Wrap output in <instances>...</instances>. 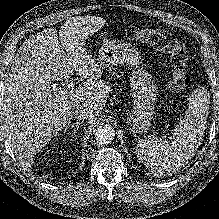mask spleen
I'll list each match as a JSON object with an SVG mask.
<instances>
[{
  "mask_svg": "<svg viewBox=\"0 0 219 219\" xmlns=\"http://www.w3.org/2000/svg\"><path fill=\"white\" fill-rule=\"evenodd\" d=\"M208 104L206 91L196 89L189 106L173 131V140L148 136L137 144L135 154L155 175H172L195 155L206 128ZM171 139V138H170Z\"/></svg>",
  "mask_w": 219,
  "mask_h": 219,
  "instance_id": "3e777b00",
  "label": "spleen"
}]
</instances>
